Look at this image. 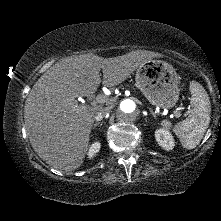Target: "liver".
I'll use <instances>...</instances> for the list:
<instances>
[{"label":"liver","mask_w":221,"mask_h":221,"mask_svg":"<svg viewBox=\"0 0 221 221\" xmlns=\"http://www.w3.org/2000/svg\"><path fill=\"white\" fill-rule=\"evenodd\" d=\"M156 57L161 55L142 50L113 58L88 53L66 58L49 68L32 87L24 106L26 131L36 154L59 170L79 168L102 106L78 104L76 98L95 93L101 83V69L102 84L113 87Z\"/></svg>","instance_id":"liver-1"}]
</instances>
